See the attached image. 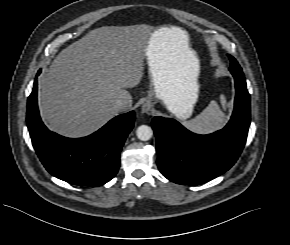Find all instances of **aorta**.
Here are the masks:
<instances>
[{"mask_svg":"<svg viewBox=\"0 0 290 245\" xmlns=\"http://www.w3.org/2000/svg\"><path fill=\"white\" fill-rule=\"evenodd\" d=\"M136 135L141 141H148L153 136V130L147 125H141L136 130Z\"/></svg>","mask_w":290,"mask_h":245,"instance_id":"obj_1","label":"aorta"}]
</instances>
